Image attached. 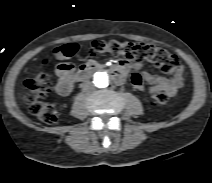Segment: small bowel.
<instances>
[{"mask_svg": "<svg viewBox=\"0 0 212 183\" xmlns=\"http://www.w3.org/2000/svg\"><path fill=\"white\" fill-rule=\"evenodd\" d=\"M118 68L123 74H126L131 69L136 71L131 76V83L138 90H144L145 87L143 81H146L151 86L149 90L150 93L163 91L167 93L169 97H173L183 86L184 68L182 66L178 67L173 78H165L161 75L151 74L146 71L140 72L143 68L142 62H135L131 64L127 61H122ZM56 75V92L61 96H67L72 91L75 82L73 69H63L60 65H58Z\"/></svg>", "mask_w": 212, "mask_h": 183, "instance_id": "obj_1", "label": "small bowel"}]
</instances>
